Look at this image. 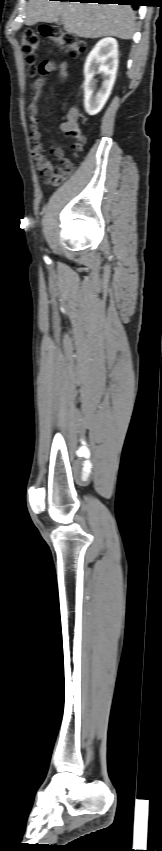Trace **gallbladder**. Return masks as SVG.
<instances>
[{"mask_svg": "<svg viewBox=\"0 0 162 851\" xmlns=\"http://www.w3.org/2000/svg\"><path fill=\"white\" fill-rule=\"evenodd\" d=\"M57 23H61V20H58Z\"/></svg>", "mask_w": 162, "mask_h": 851, "instance_id": "gallbladder-1", "label": "gallbladder"}]
</instances>
